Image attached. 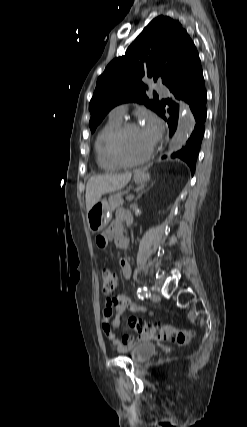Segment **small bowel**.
I'll use <instances>...</instances> for the list:
<instances>
[{
	"label": "small bowel",
	"mask_w": 247,
	"mask_h": 427,
	"mask_svg": "<svg viewBox=\"0 0 247 427\" xmlns=\"http://www.w3.org/2000/svg\"><path fill=\"white\" fill-rule=\"evenodd\" d=\"M124 220L130 221L129 215L125 211H118L116 219L110 226L100 234L96 243L99 248H105L109 241H114L120 248L128 246V239L124 235L123 224ZM120 268L125 278H130L131 267L127 260H120ZM125 311L136 314L145 311L144 307L132 302L123 295H117L112 299H108L103 310L102 329L105 337L110 342L112 349L118 352H126L133 348L136 343L146 340L140 336L135 340L131 334L125 333L121 339H118L115 330L120 326L121 316Z\"/></svg>",
	"instance_id": "c3829d8e"
}]
</instances>
